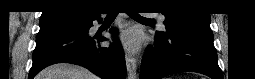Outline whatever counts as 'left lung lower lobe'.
Wrapping results in <instances>:
<instances>
[{"mask_svg": "<svg viewBox=\"0 0 255 79\" xmlns=\"http://www.w3.org/2000/svg\"><path fill=\"white\" fill-rule=\"evenodd\" d=\"M178 72H199L223 79L211 30L181 29L164 38L156 35L155 46L143 58L140 79H161Z\"/></svg>", "mask_w": 255, "mask_h": 79, "instance_id": "obj_1", "label": "left lung lower lobe"}]
</instances>
